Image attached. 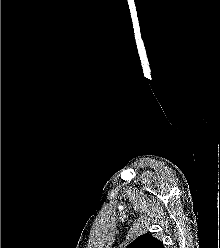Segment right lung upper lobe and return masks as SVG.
Returning <instances> with one entry per match:
<instances>
[{"instance_id":"1","label":"right lung upper lobe","mask_w":220,"mask_h":248,"mask_svg":"<svg viewBox=\"0 0 220 248\" xmlns=\"http://www.w3.org/2000/svg\"><path fill=\"white\" fill-rule=\"evenodd\" d=\"M126 248H164L163 243L147 233L139 236L135 241Z\"/></svg>"}]
</instances>
